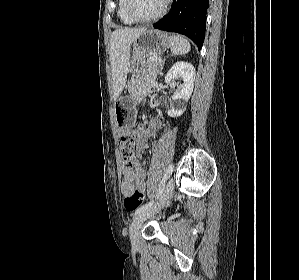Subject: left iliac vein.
<instances>
[{"instance_id": "1", "label": "left iliac vein", "mask_w": 299, "mask_h": 280, "mask_svg": "<svg viewBox=\"0 0 299 280\" xmlns=\"http://www.w3.org/2000/svg\"><path fill=\"white\" fill-rule=\"evenodd\" d=\"M173 190H174V179L171 178L168 181L159 201L154 206L149 207L148 209H146L143 212L136 215V217L133 219L131 226H130V239H131L132 247L134 249H138V247H139V237L138 236H139V230H140L142 223L146 219L152 217L155 213H157L164 207V205L170 199V197L173 193Z\"/></svg>"}]
</instances>
